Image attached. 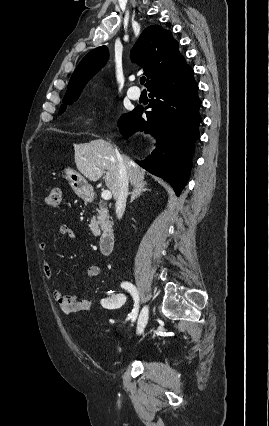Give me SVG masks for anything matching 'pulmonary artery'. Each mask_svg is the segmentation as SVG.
Instances as JSON below:
<instances>
[{
  "label": "pulmonary artery",
  "mask_w": 269,
  "mask_h": 426,
  "mask_svg": "<svg viewBox=\"0 0 269 426\" xmlns=\"http://www.w3.org/2000/svg\"><path fill=\"white\" fill-rule=\"evenodd\" d=\"M127 94L132 100H138L141 96V91L138 87L133 86L128 89Z\"/></svg>",
  "instance_id": "pulmonary-artery-1"
}]
</instances>
